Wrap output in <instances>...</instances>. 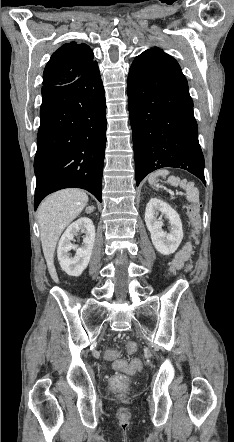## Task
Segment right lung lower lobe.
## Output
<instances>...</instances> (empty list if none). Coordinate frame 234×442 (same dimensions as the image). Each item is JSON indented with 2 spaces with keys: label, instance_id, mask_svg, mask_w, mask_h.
<instances>
[{
  "label": "right lung lower lobe",
  "instance_id": "1",
  "mask_svg": "<svg viewBox=\"0 0 234 442\" xmlns=\"http://www.w3.org/2000/svg\"><path fill=\"white\" fill-rule=\"evenodd\" d=\"M106 103L98 65L65 85L42 87L34 209L48 194L82 188L100 202Z\"/></svg>",
  "mask_w": 234,
  "mask_h": 442
}]
</instances>
